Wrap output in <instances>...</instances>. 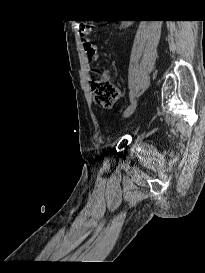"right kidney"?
<instances>
[{
  "label": "right kidney",
  "mask_w": 205,
  "mask_h": 273,
  "mask_svg": "<svg viewBox=\"0 0 205 273\" xmlns=\"http://www.w3.org/2000/svg\"><path fill=\"white\" fill-rule=\"evenodd\" d=\"M131 23L130 22H127V23H125L124 25L125 26H129Z\"/></svg>",
  "instance_id": "right-kidney-1"
}]
</instances>
